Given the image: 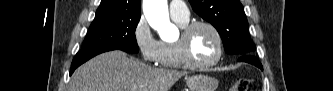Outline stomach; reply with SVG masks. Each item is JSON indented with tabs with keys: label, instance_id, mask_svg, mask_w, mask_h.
<instances>
[{
	"label": "stomach",
	"instance_id": "1",
	"mask_svg": "<svg viewBox=\"0 0 333 91\" xmlns=\"http://www.w3.org/2000/svg\"><path fill=\"white\" fill-rule=\"evenodd\" d=\"M218 80L207 75H195L186 79V84L190 91H216Z\"/></svg>",
	"mask_w": 333,
	"mask_h": 91
}]
</instances>
